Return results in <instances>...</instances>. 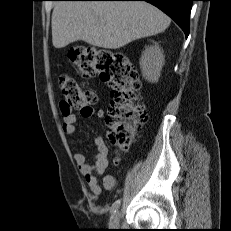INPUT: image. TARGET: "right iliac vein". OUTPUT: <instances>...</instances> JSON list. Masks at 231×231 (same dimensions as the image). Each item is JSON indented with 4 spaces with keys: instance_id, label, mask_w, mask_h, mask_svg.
I'll list each match as a JSON object with an SVG mask.
<instances>
[{
    "instance_id": "right-iliac-vein-1",
    "label": "right iliac vein",
    "mask_w": 231,
    "mask_h": 231,
    "mask_svg": "<svg viewBox=\"0 0 231 231\" xmlns=\"http://www.w3.org/2000/svg\"><path fill=\"white\" fill-rule=\"evenodd\" d=\"M119 220H120V213L119 211L115 212L109 222L110 228H118L119 227Z\"/></svg>"
}]
</instances>
